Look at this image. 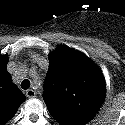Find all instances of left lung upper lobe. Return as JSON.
<instances>
[{"mask_svg": "<svg viewBox=\"0 0 125 125\" xmlns=\"http://www.w3.org/2000/svg\"><path fill=\"white\" fill-rule=\"evenodd\" d=\"M43 99L60 125H83L105 99L102 71L83 53L61 47L49 57Z\"/></svg>", "mask_w": 125, "mask_h": 125, "instance_id": "left-lung-upper-lobe-1", "label": "left lung upper lobe"}]
</instances>
